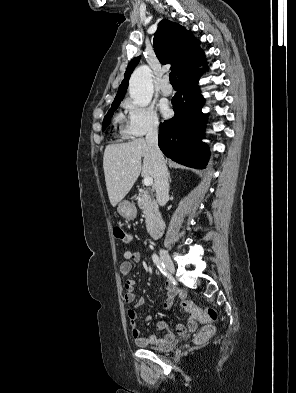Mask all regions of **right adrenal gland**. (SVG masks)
Masks as SVG:
<instances>
[{"label": "right adrenal gland", "mask_w": 296, "mask_h": 393, "mask_svg": "<svg viewBox=\"0 0 296 393\" xmlns=\"http://www.w3.org/2000/svg\"><path fill=\"white\" fill-rule=\"evenodd\" d=\"M168 178H169V181H170V183H171V177H170V173L168 172Z\"/></svg>", "instance_id": "1"}]
</instances>
